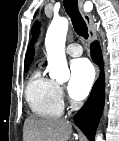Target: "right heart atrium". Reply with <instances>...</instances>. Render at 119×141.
Wrapping results in <instances>:
<instances>
[{
    "instance_id": "1",
    "label": "right heart atrium",
    "mask_w": 119,
    "mask_h": 141,
    "mask_svg": "<svg viewBox=\"0 0 119 141\" xmlns=\"http://www.w3.org/2000/svg\"><path fill=\"white\" fill-rule=\"evenodd\" d=\"M59 93H60V96H61V97L64 96L63 90H62V88H60V87H59Z\"/></svg>"
}]
</instances>
